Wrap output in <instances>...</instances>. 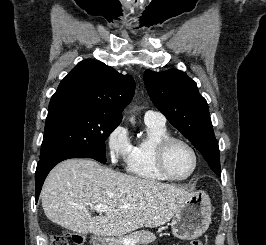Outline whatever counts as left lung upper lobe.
Returning a JSON list of instances; mask_svg holds the SVG:
<instances>
[{
  "label": "left lung upper lobe",
  "instance_id": "obj_1",
  "mask_svg": "<svg viewBox=\"0 0 266 245\" xmlns=\"http://www.w3.org/2000/svg\"><path fill=\"white\" fill-rule=\"evenodd\" d=\"M144 83L154 105L201 152L210 168L221 175L220 152L206 100L184 72H144Z\"/></svg>",
  "mask_w": 266,
  "mask_h": 245
}]
</instances>
